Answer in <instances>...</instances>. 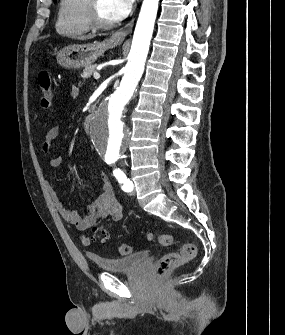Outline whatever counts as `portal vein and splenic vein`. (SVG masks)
<instances>
[{
  "instance_id": "portal-vein-and-splenic-vein-1",
  "label": "portal vein and splenic vein",
  "mask_w": 285,
  "mask_h": 335,
  "mask_svg": "<svg viewBox=\"0 0 285 335\" xmlns=\"http://www.w3.org/2000/svg\"><path fill=\"white\" fill-rule=\"evenodd\" d=\"M93 76H94L95 80H99V78H100V74H98V72H94Z\"/></svg>"
}]
</instances>
